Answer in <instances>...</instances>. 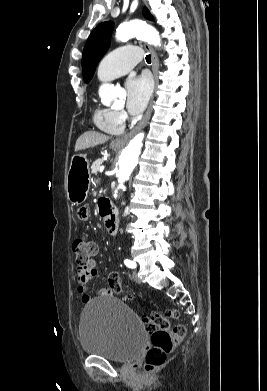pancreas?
<instances>
[{"instance_id":"cf45deb5","label":"pancreas","mask_w":267,"mask_h":391,"mask_svg":"<svg viewBox=\"0 0 267 391\" xmlns=\"http://www.w3.org/2000/svg\"><path fill=\"white\" fill-rule=\"evenodd\" d=\"M102 163L103 159H97L95 162H93L91 166V173L97 174Z\"/></svg>"}]
</instances>
